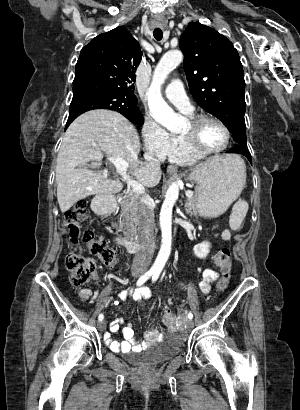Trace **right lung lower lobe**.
<instances>
[{"instance_id": "obj_1", "label": "right lung lower lobe", "mask_w": 300, "mask_h": 410, "mask_svg": "<svg viewBox=\"0 0 300 410\" xmlns=\"http://www.w3.org/2000/svg\"><path fill=\"white\" fill-rule=\"evenodd\" d=\"M71 122H69V123H67V125L66 126H69V124H70Z\"/></svg>"}]
</instances>
